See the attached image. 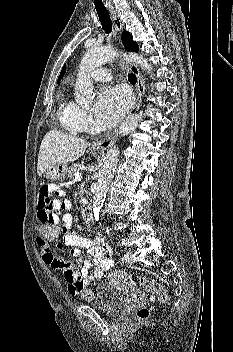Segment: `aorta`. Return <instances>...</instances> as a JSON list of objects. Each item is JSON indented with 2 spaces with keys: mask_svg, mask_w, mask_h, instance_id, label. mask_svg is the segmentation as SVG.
<instances>
[{
  "mask_svg": "<svg viewBox=\"0 0 233 352\" xmlns=\"http://www.w3.org/2000/svg\"><path fill=\"white\" fill-rule=\"evenodd\" d=\"M118 56V53L109 47H92L83 56L74 89V96L78 103L88 105L94 99L90 72L103 63ZM128 59L136 62L148 74L152 73V65L146 59L136 53H130ZM142 115H132L128 117L120 126L119 134L125 136L136 129ZM119 159V149L115 145L110 148L106 155L103 168L99 172L97 186L93 200V215L96 221L99 220V213L103 207L110 181L112 180Z\"/></svg>",
  "mask_w": 233,
  "mask_h": 352,
  "instance_id": "obj_1",
  "label": "aorta"
}]
</instances>
